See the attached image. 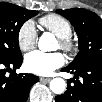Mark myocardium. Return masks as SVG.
Listing matches in <instances>:
<instances>
[{
	"instance_id": "obj_1",
	"label": "myocardium",
	"mask_w": 102,
	"mask_h": 102,
	"mask_svg": "<svg viewBox=\"0 0 102 102\" xmlns=\"http://www.w3.org/2000/svg\"><path fill=\"white\" fill-rule=\"evenodd\" d=\"M58 45L59 49L68 56L76 54L79 46L77 39L73 35L58 38Z\"/></svg>"
}]
</instances>
